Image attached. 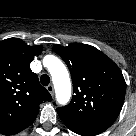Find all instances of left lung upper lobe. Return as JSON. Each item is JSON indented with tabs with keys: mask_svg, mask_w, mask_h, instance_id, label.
Returning <instances> with one entry per match:
<instances>
[{
	"mask_svg": "<svg viewBox=\"0 0 136 136\" xmlns=\"http://www.w3.org/2000/svg\"><path fill=\"white\" fill-rule=\"evenodd\" d=\"M53 50L67 64L74 88L71 102L57 108L61 120L66 125H112L122 109L126 91L118 66L86 44L54 45Z\"/></svg>",
	"mask_w": 136,
	"mask_h": 136,
	"instance_id": "left-lung-upper-lobe-1",
	"label": "left lung upper lobe"
}]
</instances>
